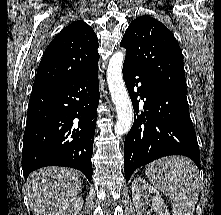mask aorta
<instances>
[{
	"instance_id": "obj_1",
	"label": "aorta",
	"mask_w": 221,
	"mask_h": 215,
	"mask_svg": "<svg viewBox=\"0 0 221 215\" xmlns=\"http://www.w3.org/2000/svg\"><path fill=\"white\" fill-rule=\"evenodd\" d=\"M124 59L125 53L117 51L110 58L107 67V83L117 112V122L114 131L115 134L120 136L130 130L133 121L132 103L122 75Z\"/></svg>"
}]
</instances>
